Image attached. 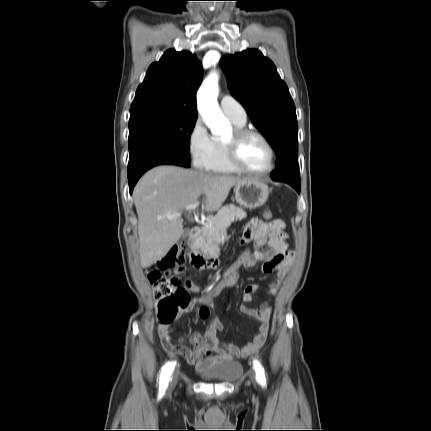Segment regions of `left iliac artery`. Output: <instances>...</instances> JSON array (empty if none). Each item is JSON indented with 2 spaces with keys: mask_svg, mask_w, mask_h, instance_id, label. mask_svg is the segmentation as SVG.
<instances>
[{
  "mask_svg": "<svg viewBox=\"0 0 431 431\" xmlns=\"http://www.w3.org/2000/svg\"><path fill=\"white\" fill-rule=\"evenodd\" d=\"M255 372H256V379L257 381L262 385L265 386L266 384V378H265V373H264V369L262 367V365L260 364V362L258 360H254L253 363Z\"/></svg>",
  "mask_w": 431,
  "mask_h": 431,
  "instance_id": "left-iliac-artery-1",
  "label": "left iliac artery"
}]
</instances>
